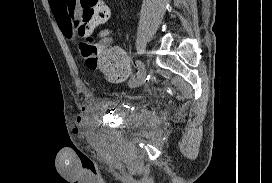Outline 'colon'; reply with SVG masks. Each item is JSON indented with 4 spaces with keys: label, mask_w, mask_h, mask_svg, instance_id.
<instances>
[{
    "label": "colon",
    "mask_w": 272,
    "mask_h": 183,
    "mask_svg": "<svg viewBox=\"0 0 272 183\" xmlns=\"http://www.w3.org/2000/svg\"><path fill=\"white\" fill-rule=\"evenodd\" d=\"M68 24L81 36H87L109 18V9L103 0H67ZM76 10L78 13L76 14ZM81 52L90 69L111 66L115 56L91 41L81 45Z\"/></svg>",
    "instance_id": "colon-1"
}]
</instances>
